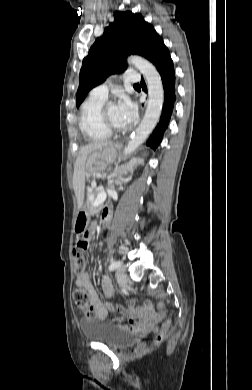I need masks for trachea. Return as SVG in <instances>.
<instances>
[{"mask_svg": "<svg viewBox=\"0 0 252 390\" xmlns=\"http://www.w3.org/2000/svg\"><path fill=\"white\" fill-rule=\"evenodd\" d=\"M134 86H139V83H137V84H134Z\"/></svg>", "mask_w": 252, "mask_h": 390, "instance_id": "trachea-1", "label": "trachea"}]
</instances>
